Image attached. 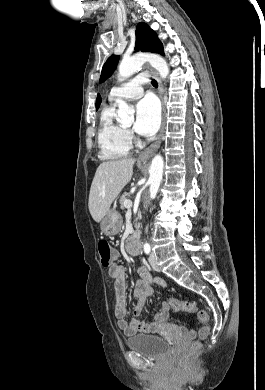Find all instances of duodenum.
Here are the masks:
<instances>
[{
  "mask_svg": "<svg viewBox=\"0 0 265 390\" xmlns=\"http://www.w3.org/2000/svg\"><path fill=\"white\" fill-rule=\"evenodd\" d=\"M126 248L130 253L138 254L140 251L139 232L136 231L132 238L127 242Z\"/></svg>",
  "mask_w": 265,
  "mask_h": 390,
  "instance_id": "410a0bca",
  "label": "duodenum"
}]
</instances>
